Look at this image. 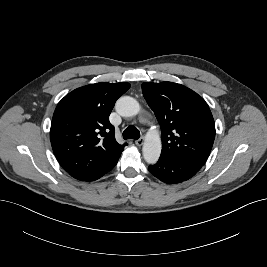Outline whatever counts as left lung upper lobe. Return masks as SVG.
<instances>
[{
	"label": "left lung upper lobe",
	"mask_w": 267,
	"mask_h": 267,
	"mask_svg": "<svg viewBox=\"0 0 267 267\" xmlns=\"http://www.w3.org/2000/svg\"><path fill=\"white\" fill-rule=\"evenodd\" d=\"M142 92L160 124V157L204 165L215 138V123L205 100L172 82L143 83Z\"/></svg>",
	"instance_id": "5c2ea615"
}]
</instances>
